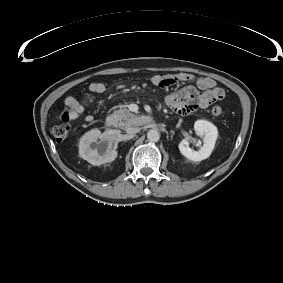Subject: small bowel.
<instances>
[{
    "mask_svg": "<svg viewBox=\"0 0 283 283\" xmlns=\"http://www.w3.org/2000/svg\"><path fill=\"white\" fill-rule=\"evenodd\" d=\"M193 76L187 73H178L170 77H163L159 74H152L149 81L154 86L165 87L179 82L191 81ZM88 89L95 94L105 91L104 83L92 82ZM225 92L217 87L216 82L209 77H200L196 80L195 86H185L169 95L164 99V103L169 108L180 114H189L201 108H207L210 104L222 100ZM65 111L62 115L67 121H74L81 117L85 111L84 106L73 96H68L64 100ZM94 117L86 115L85 121L92 122Z\"/></svg>",
    "mask_w": 283,
    "mask_h": 283,
    "instance_id": "obj_1",
    "label": "small bowel"
}]
</instances>
